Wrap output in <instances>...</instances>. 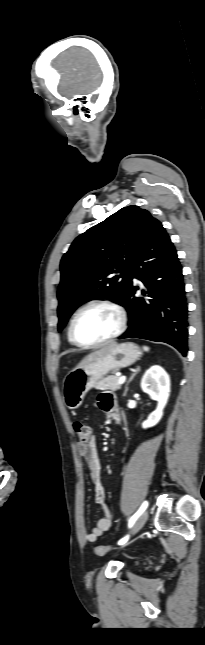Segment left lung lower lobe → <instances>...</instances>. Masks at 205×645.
<instances>
[{
	"instance_id": "0a47b994",
	"label": "left lung lower lobe",
	"mask_w": 205,
	"mask_h": 645,
	"mask_svg": "<svg viewBox=\"0 0 205 645\" xmlns=\"http://www.w3.org/2000/svg\"><path fill=\"white\" fill-rule=\"evenodd\" d=\"M143 282L144 297L134 296ZM122 306L129 314V328L119 338L165 342L183 356L188 351V308L182 267L177 251L162 224L153 219L143 234L130 269V286Z\"/></svg>"
}]
</instances>
